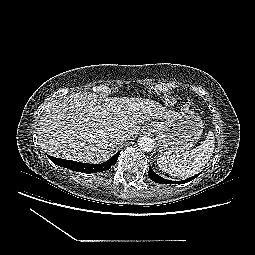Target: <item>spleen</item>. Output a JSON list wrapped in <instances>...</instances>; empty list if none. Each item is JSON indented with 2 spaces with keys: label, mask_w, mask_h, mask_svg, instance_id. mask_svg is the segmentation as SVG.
Returning a JSON list of instances; mask_svg holds the SVG:
<instances>
[{
  "label": "spleen",
  "mask_w": 255,
  "mask_h": 255,
  "mask_svg": "<svg viewBox=\"0 0 255 255\" xmlns=\"http://www.w3.org/2000/svg\"><path fill=\"white\" fill-rule=\"evenodd\" d=\"M215 138L209 131L202 144L180 155L160 154L157 158L159 167L171 176L188 177L201 171L208 163L214 151Z\"/></svg>",
  "instance_id": "spleen-1"
}]
</instances>
